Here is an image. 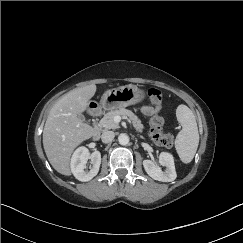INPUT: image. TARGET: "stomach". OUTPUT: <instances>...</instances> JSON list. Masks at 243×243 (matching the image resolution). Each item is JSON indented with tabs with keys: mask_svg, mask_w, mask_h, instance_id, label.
<instances>
[{
	"mask_svg": "<svg viewBox=\"0 0 243 243\" xmlns=\"http://www.w3.org/2000/svg\"><path fill=\"white\" fill-rule=\"evenodd\" d=\"M144 91L135 85H125L106 91L101 99L103 108L112 110L127 107L144 99Z\"/></svg>",
	"mask_w": 243,
	"mask_h": 243,
	"instance_id": "0dacf381",
	"label": "stomach"
}]
</instances>
